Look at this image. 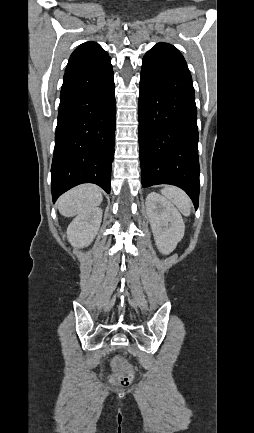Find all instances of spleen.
I'll return each mask as SVG.
<instances>
[{
  "mask_svg": "<svg viewBox=\"0 0 254 433\" xmlns=\"http://www.w3.org/2000/svg\"><path fill=\"white\" fill-rule=\"evenodd\" d=\"M161 193L171 201L184 216H189L191 211V201L181 189L174 186H166Z\"/></svg>",
  "mask_w": 254,
  "mask_h": 433,
  "instance_id": "spleen-1",
  "label": "spleen"
}]
</instances>
